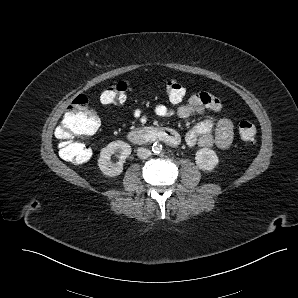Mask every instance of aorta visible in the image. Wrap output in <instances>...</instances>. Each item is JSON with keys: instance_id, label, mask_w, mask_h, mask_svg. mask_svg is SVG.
<instances>
[{"instance_id": "aorta-1", "label": "aorta", "mask_w": 298, "mask_h": 298, "mask_svg": "<svg viewBox=\"0 0 298 298\" xmlns=\"http://www.w3.org/2000/svg\"><path fill=\"white\" fill-rule=\"evenodd\" d=\"M162 149H163V147L160 143H158V142L153 143V145H152L153 153L158 154V153L162 152Z\"/></svg>"}]
</instances>
